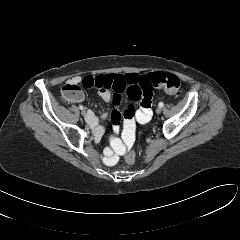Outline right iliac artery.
<instances>
[{"label": "right iliac artery", "instance_id": "obj_1", "mask_svg": "<svg viewBox=\"0 0 240 240\" xmlns=\"http://www.w3.org/2000/svg\"><path fill=\"white\" fill-rule=\"evenodd\" d=\"M83 108H84V107H83V105H79V109H81V110H82Z\"/></svg>", "mask_w": 240, "mask_h": 240}]
</instances>
